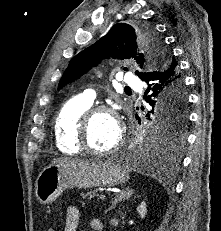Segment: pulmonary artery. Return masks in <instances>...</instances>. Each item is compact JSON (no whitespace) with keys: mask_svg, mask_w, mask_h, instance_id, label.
<instances>
[{"mask_svg":"<svg viewBox=\"0 0 221 231\" xmlns=\"http://www.w3.org/2000/svg\"><path fill=\"white\" fill-rule=\"evenodd\" d=\"M122 83L126 86L135 88L139 85V80L133 75L126 73L122 76ZM80 98L91 104L96 98V93L94 90L88 89L80 95Z\"/></svg>","mask_w":221,"mask_h":231,"instance_id":"e3ab8cb5","label":"pulmonary artery"}]
</instances>
